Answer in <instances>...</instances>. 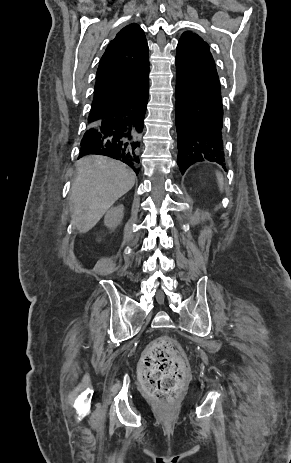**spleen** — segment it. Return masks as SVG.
I'll list each match as a JSON object with an SVG mask.
<instances>
[{
    "label": "spleen",
    "mask_w": 291,
    "mask_h": 463,
    "mask_svg": "<svg viewBox=\"0 0 291 463\" xmlns=\"http://www.w3.org/2000/svg\"><path fill=\"white\" fill-rule=\"evenodd\" d=\"M216 177H217V181L219 183L220 191L222 192L224 190V178H223V175L220 172H216Z\"/></svg>",
    "instance_id": "obj_1"
}]
</instances>
